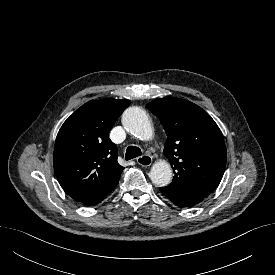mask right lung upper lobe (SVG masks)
Wrapping results in <instances>:
<instances>
[{
	"instance_id": "1",
	"label": "right lung upper lobe",
	"mask_w": 275,
	"mask_h": 275,
	"mask_svg": "<svg viewBox=\"0 0 275 275\" xmlns=\"http://www.w3.org/2000/svg\"><path fill=\"white\" fill-rule=\"evenodd\" d=\"M130 100H91L76 110L60 128L54 146V171L77 202L108 195L124 167L117 162L109 132Z\"/></svg>"
}]
</instances>
